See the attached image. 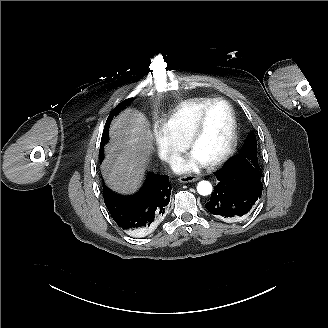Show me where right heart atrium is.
I'll use <instances>...</instances> for the list:
<instances>
[{"label": "right heart atrium", "mask_w": 328, "mask_h": 328, "mask_svg": "<svg viewBox=\"0 0 328 328\" xmlns=\"http://www.w3.org/2000/svg\"><path fill=\"white\" fill-rule=\"evenodd\" d=\"M148 135L155 146L158 156L168 164L176 161L186 148L184 144L173 140L157 122L151 125Z\"/></svg>", "instance_id": "right-heart-atrium-1"}]
</instances>
